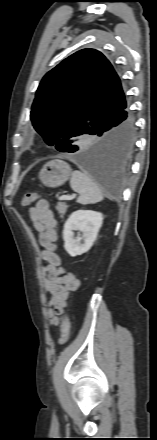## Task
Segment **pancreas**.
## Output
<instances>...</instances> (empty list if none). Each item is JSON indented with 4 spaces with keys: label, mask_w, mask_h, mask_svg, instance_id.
Segmentation results:
<instances>
[{
    "label": "pancreas",
    "mask_w": 157,
    "mask_h": 440,
    "mask_svg": "<svg viewBox=\"0 0 157 440\" xmlns=\"http://www.w3.org/2000/svg\"><path fill=\"white\" fill-rule=\"evenodd\" d=\"M67 207L68 206L66 205V203H58L57 204L56 209H57L58 213L60 214L61 218H63V216L65 215Z\"/></svg>",
    "instance_id": "pancreas-1"
}]
</instances>
